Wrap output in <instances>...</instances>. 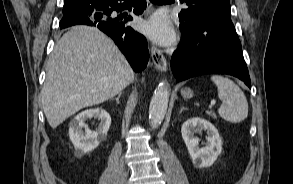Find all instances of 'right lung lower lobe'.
Masks as SVG:
<instances>
[{"label":"right lung lower lobe","instance_id":"right-lung-lower-lobe-1","mask_svg":"<svg viewBox=\"0 0 293 184\" xmlns=\"http://www.w3.org/2000/svg\"><path fill=\"white\" fill-rule=\"evenodd\" d=\"M134 7L135 14H141L146 7V0H101L97 4L81 8L78 11L64 15L60 28L75 24H86L98 27L110 36L127 58L135 72L142 71L148 63L149 52L145 37L130 26L125 25L132 17L119 22L112 18L114 11H122Z\"/></svg>","mask_w":293,"mask_h":184}]
</instances>
